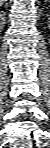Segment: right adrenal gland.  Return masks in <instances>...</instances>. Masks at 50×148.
Instances as JSON below:
<instances>
[{"label": "right adrenal gland", "mask_w": 50, "mask_h": 148, "mask_svg": "<svg viewBox=\"0 0 50 148\" xmlns=\"http://www.w3.org/2000/svg\"><path fill=\"white\" fill-rule=\"evenodd\" d=\"M4 4H5V0L2 1L1 5H4ZM5 7H6V6H5Z\"/></svg>", "instance_id": "obj_1"}]
</instances>
